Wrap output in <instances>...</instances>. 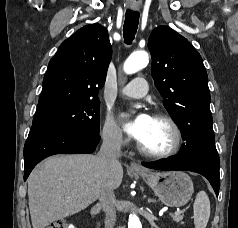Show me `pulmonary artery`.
I'll use <instances>...</instances> for the list:
<instances>
[{
  "instance_id": "1",
  "label": "pulmonary artery",
  "mask_w": 238,
  "mask_h": 228,
  "mask_svg": "<svg viewBox=\"0 0 238 228\" xmlns=\"http://www.w3.org/2000/svg\"><path fill=\"white\" fill-rule=\"evenodd\" d=\"M147 93V81L143 77H136L121 89V94L131 98H142Z\"/></svg>"
}]
</instances>
